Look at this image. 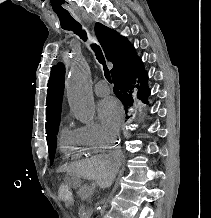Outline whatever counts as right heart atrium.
I'll use <instances>...</instances> for the list:
<instances>
[{"label":"right heart atrium","mask_w":211,"mask_h":218,"mask_svg":"<svg viewBox=\"0 0 211 218\" xmlns=\"http://www.w3.org/2000/svg\"><path fill=\"white\" fill-rule=\"evenodd\" d=\"M75 130L85 143L94 147L103 148L113 141L112 134L95 120H90Z\"/></svg>","instance_id":"obj_1"}]
</instances>
